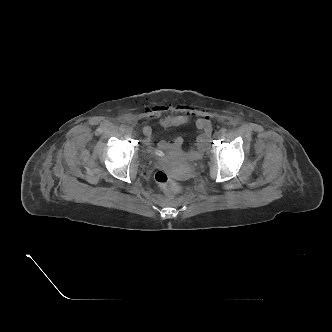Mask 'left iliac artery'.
I'll list each match as a JSON object with an SVG mask.
<instances>
[{"label": "left iliac artery", "instance_id": "obj_1", "mask_svg": "<svg viewBox=\"0 0 332 332\" xmlns=\"http://www.w3.org/2000/svg\"><path fill=\"white\" fill-rule=\"evenodd\" d=\"M220 132H221L223 135H225L226 132H227V130H226L225 128H222V129L220 130Z\"/></svg>", "mask_w": 332, "mask_h": 332}]
</instances>
